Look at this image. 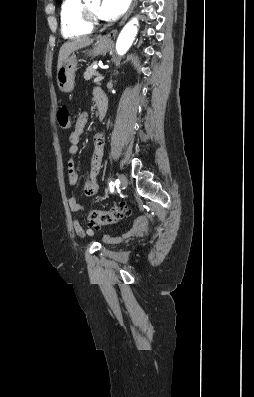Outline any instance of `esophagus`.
<instances>
[{"label":"esophagus","instance_id":"34e87169","mask_svg":"<svg viewBox=\"0 0 254 397\" xmlns=\"http://www.w3.org/2000/svg\"><path fill=\"white\" fill-rule=\"evenodd\" d=\"M135 3H136V0H132V3L130 5L127 13L125 14L123 19L119 23V26H122L126 22V20L128 19V17L130 16V14L132 13V11L134 9ZM116 34H117V30L113 29L103 39H104V41H110L113 37L116 36Z\"/></svg>","mask_w":254,"mask_h":397}]
</instances>
